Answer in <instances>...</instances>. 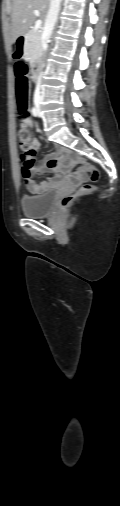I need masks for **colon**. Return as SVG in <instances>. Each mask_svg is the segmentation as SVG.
<instances>
[{
    "label": "colon",
    "mask_w": 120,
    "mask_h": 506,
    "mask_svg": "<svg viewBox=\"0 0 120 506\" xmlns=\"http://www.w3.org/2000/svg\"><path fill=\"white\" fill-rule=\"evenodd\" d=\"M15 50L13 51V58L16 60L18 65H25L27 63V56L25 58H16ZM28 71L25 66H19L15 71L16 78V102H17V113L18 118L25 124L28 119ZM18 143L22 151V157L24 160V166L28 169H32L35 166L34 156L38 149V142L34 139L30 131L23 127L17 133ZM78 169L82 172H87L90 175L91 182L95 183L100 178L99 170L93 164L83 162L78 166ZM93 190L91 184H84L77 193L67 195L61 199L60 206L66 208L72 201H74L80 195L89 193Z\"/></svg>",
    "instance_id": "obj_1"
}]
</instances>
